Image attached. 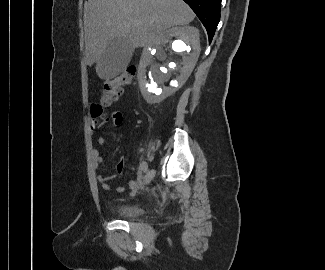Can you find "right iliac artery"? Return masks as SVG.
<instances>
[{
    "mask_svg": "<svg viewBox=\"0 0 325 270\" xmlns=\"http://www.w3.org/2000/svg\"><path fill=\"white\" fill-rule=\"evenodd\" d=\"M141 169L144 171V172H147L148 170V164L146 162H142L141 163Z\"/></svg>",
    "mask_w": 325,
    "mask_h": 270,
    "instance_id": "1",
    "label": "right iliac artery"
}]
</instances>
